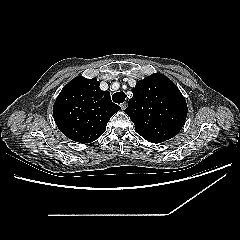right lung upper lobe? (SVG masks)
Segmentation results:
<instances>
[{
  "label": "right lung upper lobe",
  "instance_id": "obj_1",
  "mask_svg": "<svg viewBox=\"0 0 240 240\" xmlns=\"http://www.w3.org/2000/svg\"><path fill=\"white\" fill-rule=\"evenodd\" d=\"M99 82L78 76L58 95L53 106L57 127L69 139L91 143L106 130V125L120 107L111 101L110 93L99 88Z\"/></svg>",
  "mask_w": 240,
  "mask_h": 240
}]
</instances>
